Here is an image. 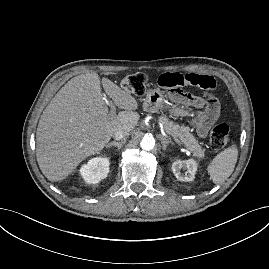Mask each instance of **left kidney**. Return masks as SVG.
<instances>
[{
  "instance_id": "5707ae66",
  "label": "left kidney",
  "mask_w": 269,
  "mask_h": 269,
  "mask_svg": "<svg viewBox=\"0 0 269 269\" xmlns=\"http://www.w3.org/2000/svg\"><path fill=\"white\" fill-rule=\"evenodd\" d=\"M198 164L194 159L189 160H176L172 164V171L181 182H190L195 178ZM181 170H185L184 173Z\"/></svg>"
}]
</instances>
